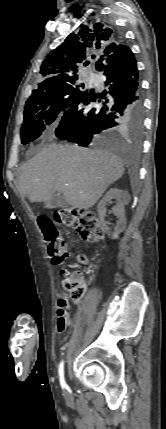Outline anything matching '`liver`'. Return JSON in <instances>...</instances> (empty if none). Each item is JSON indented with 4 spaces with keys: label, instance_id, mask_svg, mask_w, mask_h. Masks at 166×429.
<instances>
[{
    "label": "liver",
    "instance_id": "obj_1",
    "mask_svg": "<svg viewBox=\"0 0 166 429\" xmlns=\"http://www.w3.org/2000/svg\"><path fill=\"white\" fill-rule=\"evenodd\" d=\"M123 174L122 160L109 151L53 144L23 166L18 190L30 202L48 201L59 191L72 207L88 209Z\"/></svg>",
    "mask_w": 166,
    "mask_h": 429
}]
</instances>
